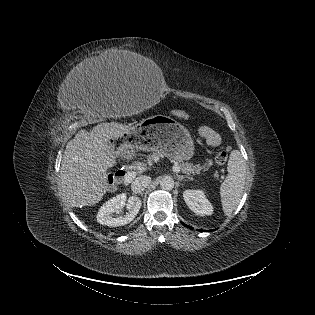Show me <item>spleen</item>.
<instances>
[{
  "label": "spleen",
  "instance_id": "1",
  "mask_svg": "<svg viewBox=\"0 0 315 315\" xmlns=\"http://www.w3.org/2000/svg\"><path fill=\"white\" fill-rule=\"evenodd\" d=\"M247 165L238 150L230 154L227 171L228 174L220 186V196L223 212L230 215L238 206L243 195Z\"/></svg>",
  "mask_w": 315,
  "mask_h": 315
}]
</instances>
